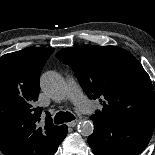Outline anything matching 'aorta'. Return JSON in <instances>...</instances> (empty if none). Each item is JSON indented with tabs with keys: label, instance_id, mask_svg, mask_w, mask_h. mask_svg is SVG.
<instances>
[{
	"label": "aorta",
	"instance_id": "762f6f07",
	"mask_svg": "<svg viewBox=\"0 0 155 155\" xmlns=\"http://www.w3.org/2000/svg\"><path fill=\"white\" fill-rule=\"evenodd\" d=\"M41 87L51 98L55 100L63 99L68 87L63 77L54 71H48L41 77ZM94 125L91 120H83L78 124V131L83 136H89L93 133Z\"/></svg>",
	"mask_w": 155,
	"mask_h": 155
}]
</instances>
